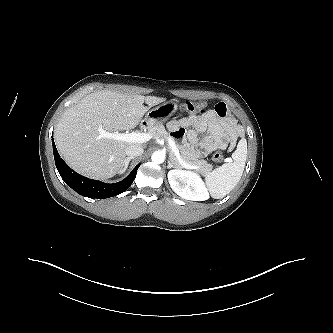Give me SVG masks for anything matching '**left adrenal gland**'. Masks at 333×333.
<instances>
[{"label":"left adrenal gland","instance_id":"left-adrenal-gland-1","mask_svg":"<svg viewBox=\"0 0 333 333\" xmlns=\"http://www.w3.org/2000/svg\"><path fill=\"white\" fill-rule=\"evenodd\" d=\"M168 169H171V168H177L176 166V163L173 161L172 158H170V160L168 161V166H167Z\"/></svg>","mask_w":333,"mask_h":333}]
</instances>
